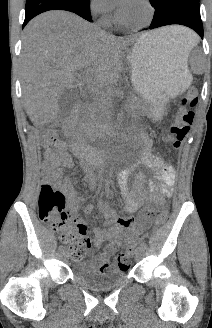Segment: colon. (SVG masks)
Returning a JSON list of instances; mask_svg holds the SVG:
<instances>
[{
  "mask_svg": "<svg viewBox=\"0 0 212 328\" xmlns=\"http://www.w3.org/2000/svg\"><path fill=\"white\" fill-rule=\"evenodd\" d=\"M198 101V90L190 88L185 97L179 103V114L169 129L166 144L172 149H179L188 135L193 119V108ZM57 135L54 132L45 134L42 138L44 147H51L57 143ZM38 213L42 221L54 230L60 231V240L71 251L73 257L80 258L88 249V239L85 237V226L77 224L75 227L68 225L69 214L65 210V197L63 193L50 184H44L40 188L38 198ZM168 218V210L161 209L157 212L156 224L162 225ZM118 267L122 270L129 268V256L123 253L118 258Z\"/></svg>",
  "mask_w": 212,
  "mask_h": 328,
  "instance_id": "colon-1",
  "label": "colon"
}]
</instances>
